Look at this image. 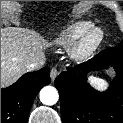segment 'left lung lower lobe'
<instances>
[{
    "mask_svg": "<svg viewBox=\"0 0 123 123\" xmlns=\"http://www.w3.org/2000/svg\"><path fill=\"white\" fill-rule=\"evenodd\" d=\"M113 66L116 78L100 93L87 83V74ZM59 91L63 123H123V47L101 51L94 58L67 68L54 81Z\"/></svg>",
    "mask_w": 123,
    "mask_h": 123,
    "instance_id": "obj_1",
    "label": "left lung lower lobe"
}]
</instances>
